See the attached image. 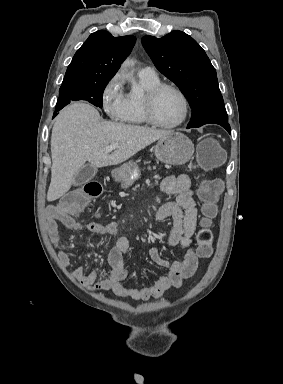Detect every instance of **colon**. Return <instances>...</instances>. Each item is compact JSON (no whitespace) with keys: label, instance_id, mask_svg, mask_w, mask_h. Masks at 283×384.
<instances>
[{"label":"colon","instance_id":"obj_1","mask_svg":"<svg viewBox=\"0 0 283 384\" xmlns=\"http://www.w3.org/2000/svg\"><path fill=\"white\" fill-rule=\"evenodd\" d=\"M198 164L204 170L219 166L224 160V152L218 140L213 137L203 139L198 146ZM224 190V183L219 178L204 180L198 189V197L202 202V228L197 234V253L201 258H208L212 253V232L210 225L216 216V204ZM102 192L98 182H89L79 189L64 196L59 208L73 214L82 213L91 201Z\"/></svg>","mask_w":283,"mask_h":384}]
</instances>
